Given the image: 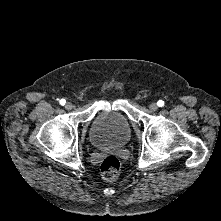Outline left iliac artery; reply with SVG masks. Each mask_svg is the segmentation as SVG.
Returning <instances> with one entry per match:
<instances>
[{"label":"left iliac artery","instance_id":"obj_1","mask_svg":"<svg viewBox=\"0 0 221 221\" xmlns=\"http://www.w3.org/2000/svg\"><path fill=\"white\" fill-rule=\"evenodd\" d=\"M157 105H158L159 107L164 106V101H163V100H159V101L157 102Z\"/></svg>","mask_w":221,"mask_h":221}]
</instances>
